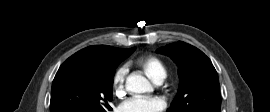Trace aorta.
<instances>
[{"instance_id": "762f6f07", "label": "aorta", "mask_w": 270, "mask_h": 112, "mask_svg": "<svg viewBox=\"0 0 270 112\" xmlns=\"http://www.w3.org/2000/svg\"><path fill=\"white\" fill-rule=\"evenodd\" d=\"M126 89L138 94L153 90L150 82L144 76L139 74H131L127 77Z\"/></svg>"}]
</instances>
